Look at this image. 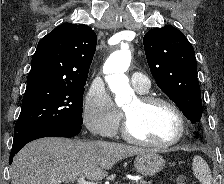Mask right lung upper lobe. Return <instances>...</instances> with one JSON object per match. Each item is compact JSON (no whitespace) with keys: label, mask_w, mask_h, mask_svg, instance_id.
Wrapping results in <instances>:
<instances>
[{"label":"right lung upper lobe","mask_w":224,"mask_h":184,"mask_svg":"<svg viewBox=\"0 0 224 184\" xmlns=\"http://www.w3.org/2000/svg\"><path fill=\"white\" fill-rule=\"evenodd\" d=\"M96 44V33L87 25L63 23L57 26L39 41L27 85L86 83Z\"/></svg>","instance_id":"obj_1"}]
</instances>
